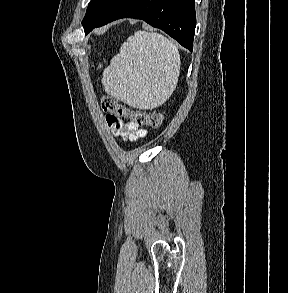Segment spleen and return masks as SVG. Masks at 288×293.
I'll return each instance as SVG.
<instances>
[{
    "mask_svg": "<svg viewBox=\"0 0 288 293\" xmlns=\"http://www.w3.org/2000/svg\"><path fill=\"white\" fill-rule=\"evenodd\" d=\"M180 54L176 45L155 32L137 31L104 70L105 92L130 106L153 109L176 88Z\"/></svg>",
    "mask_w": 288,
    "mask_h": 293,
    "instance_id": "1",
    "label": "spleen"
}]
</instances>
